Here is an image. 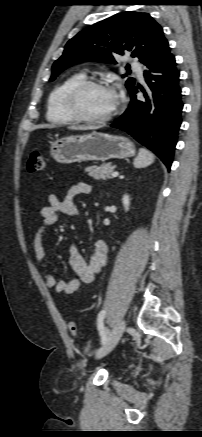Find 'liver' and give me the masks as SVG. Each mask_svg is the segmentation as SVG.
Here are the masks:
<instances>
[{"instance_id":"6515ba94","label":"liver","mask_w":202,"mask_h":437,"mask_svg":"<svg viewBox=\"0 0 202 437\" xmlns=\"http://www.w3.org/2000/svg\"><path fill=\"white\" fill-rule=\"evenodd\" d=\"M68 129H71V130H90V129H93V127H90V126H71V127H68Z\"/></svg>"}]
</instances>
